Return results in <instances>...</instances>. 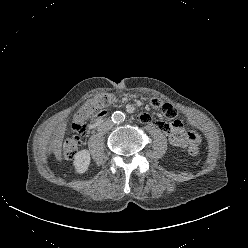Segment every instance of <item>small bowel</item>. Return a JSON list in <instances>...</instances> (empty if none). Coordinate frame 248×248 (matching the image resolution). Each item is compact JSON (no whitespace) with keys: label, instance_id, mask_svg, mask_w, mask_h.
Listing matches in <instances>:
<instances>
[{"label":"small bowel","instance_id":"small-bowel-1","mask_svg":"<svg viewBox=\"0 0 248 248\" xmlns=\"http://www.w3.org/2000/svg\"><path fill=\"white\" fill-rule=\"evenodd\" d=\"M151 107L157 109L160 112V117L156 120L157 128L163 130L168 135L170 144L174 147L185 148L192 142L193 133L196 131H186L183 123L180 120H176L173 123H169L170 120L176 119L178 115V108L174 103L164 102L160 97H154L151 100ZM109 109L106 107L101 113L97 115V119L103 117ZM139 120L142 123H148L150 121V115L148 113H141Z\"/></svg>","mask_w":248,"mask_h":248}]
</instances>
